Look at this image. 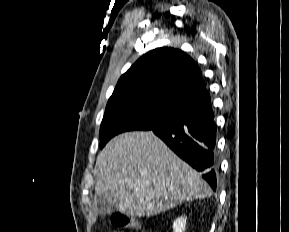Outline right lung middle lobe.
<instances>
[{"instance_id":"1","label":"right lung middle lobe","mask_w":289,"mask_h":232,"mask_svg":"<svg viewBox=\"0 0 289 232\" xmlns=\"http://www.w3.org/2000/svg\"><path fill=\"white\" fill-rule=\"evenodd\" d=\"M182 110L141 97L110 98L101 123V148L115 135L151 130L175 119Z\"/></svg>"}]
</instances>
